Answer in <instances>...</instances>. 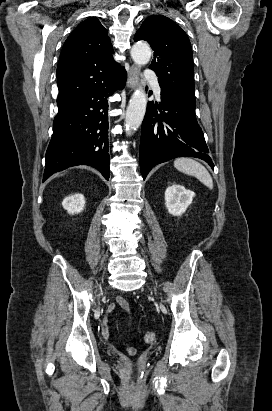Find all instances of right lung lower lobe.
<instances>
[{
    "label": "right lung lower lobe",
    "mask_w": 272,
    "mask_h": 411,
    "mask_svg": "<svg viewBox=\"0 0 272 411\" xmlns=\"http://www.w3.org/2000/svg\"><path fill=\"white\" fill-rule=\"evenodd\" d=\"M125 82L126 71L121 68L110 82L58 106L43 181L75 165L92 166L109 179L107 98Z\"/></svg>",
    "instance_id": "right-lung-lower-lobe-1"
}]
</instances>
